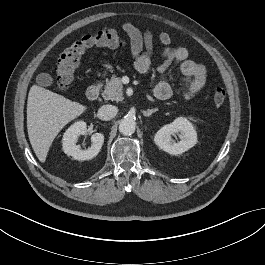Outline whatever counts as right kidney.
Listing matches in <instances>:
<instances>
[{"label":"right kidney","mask_w":265,"mask_h":265,"mask_svg":"<svg viewBox=\"0 0 265 265\" xmlns=\"http://www.w3.org/2000/svg\"><path fill=\"white\" fill-rule=\"evenodd\" d=\"M87 132L86 123L84 121L75 122L71 125L63 136V151L68 156H72L75 160H90L95 157L104 142V136L101 133H94L91 136L92 145L87 150H82L76 142L80 135H85Z\"/></svg>","instance_id":"ca27d5eb"}]
</instances>
